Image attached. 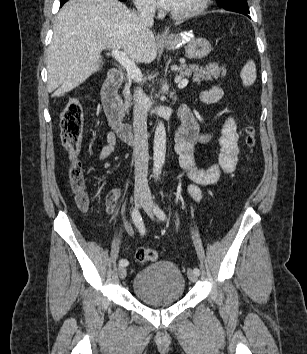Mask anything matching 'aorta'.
Returning <instances> with one entry per match:
<instances>
[{"mask_svg": "<svg viewBox=\"0 0 307 354\" xmlns=\"http://www.w3.org/2000/svg\"><path fill=\"white\" fill-rule=\"evenodd\" d=\"M166 154V130L162 121L158 122L153 145V174L158 177L164 165Z\"/></svg>", "mask_w": 307, "mask_h": 354, "instance_id": "obj_1", "label": "aorta"}]
</instances>
